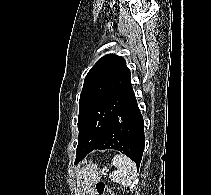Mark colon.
Returning a JSON list of instances; mask_svg holds the SVG:
<instances>
[{"instance_id":"colon-1","label":"colon","mask_w":211,"mask_h":195,"mask_svg":"<svg viewBox=\"0 0 211 195\" xmlns=\"http://www.w3.org/2000/svg\"><path fill=\"white\" fill-rule=\"evenodd\" d=\"M94 191L97 195H104L108 191V189H107L106 184L103 181H98L94 185Z\"/></svg>"}]
</instances>
